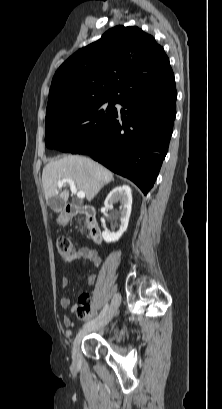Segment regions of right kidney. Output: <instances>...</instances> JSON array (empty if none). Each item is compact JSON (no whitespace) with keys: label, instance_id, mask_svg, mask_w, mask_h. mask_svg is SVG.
<instances>
[{"label":"right kidney","instance_id":"right-kidney-1","mask_svg":"<svg viewBox=\"0 0 222 409\" xmlns=\"http://www.w3.org/2000/svg\"><path fill=\"white\" fill-rule=\"evenodd\" d=\"M118 201L121 202L119 210L120 228L116 233L109 230L102 232V237L107 243L119 240L122 234L127 230L132 208V191L128 185L115 187L106 197L104 205L106 208H112Z\"/></svg>","mask_w":222,"mask_h":409}]
</instances>
